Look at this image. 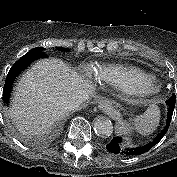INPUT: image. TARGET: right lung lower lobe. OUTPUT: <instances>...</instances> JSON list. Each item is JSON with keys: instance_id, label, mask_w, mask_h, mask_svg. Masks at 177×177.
<instances>
[{"instance_id": "right-lung-lower-lobe-1", "label": "right lung lower lobe", "mask_w": 177, "mask_h": 177, "mask_svg": "<svg viewBox=\"0 0 177 177\" xmlns=\"http://www.w3.org/2000/svg\"><path fill=\"white\" fill-rule=\"evenodd\" d=\"M47 57V55L43 52H33L29 51L27 54H25L23 57H21L18 61L14 63V65L11 67L7 77L6 82L3 88V101L8 104L10 92L12 88V84L16 78V76L24 70L32 61L38 59Z\"/></svg>"}]
</instances>
